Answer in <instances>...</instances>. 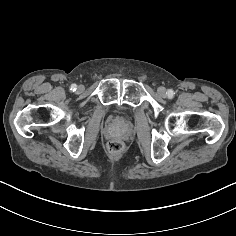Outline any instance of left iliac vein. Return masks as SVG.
<instances>
[{"instance_id": "obj_1", "label": "left iliac vein", "mask_w": 236, "mask_h": 236, "mask_svg": "<svg viewBox=\"0 0 236 236\" xmlns=\"http://www.w3.org/2000/svg\"><path fill=\"white\" fill-rule=\"evenodd\" d=\"M157 92L160 96L164 97L166 95V88L163 86L158 87Z\"/></svg>"}]
</instances>
